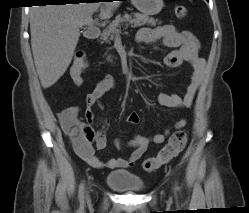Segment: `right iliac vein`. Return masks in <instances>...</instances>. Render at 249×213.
Wrapping results in <instances>:
<instances>
[{
  "label": "right iliac vein",
  "mask_w": 249,
  "mask_h": 213,
  "mask_svg": "<svg viewBox=\"0 0 249 213\" xmlns=\"http://www.w3.org/2000/svg\"><path fill=\"white\" fill-rule=\"evenodd\" d=\"M89 197V194H88V191L86 192V198H88Z\"/></svg>",
  "instance_id": "63e3f726"
}]
</instances>
